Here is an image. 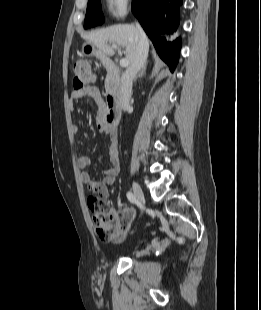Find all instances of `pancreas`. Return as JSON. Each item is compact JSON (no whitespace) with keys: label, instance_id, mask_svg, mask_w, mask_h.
Returning <instances> with one entry per match:
<instances>
[{"label":"pancreas","instance_id":"obj_1","mask_svg":"<svg viewBox=\"0 0 261 310\" xmlns=\"http://www.w3.org/2000/svg\"><path fill=\"white\" fill-rule=\"evenodd\" d=\"M110 83H111V78L109 75H107L106 80H105V89L106 91H110Z\"/></svg>","mask_w":261,"mask_h":310}]
</instances>
